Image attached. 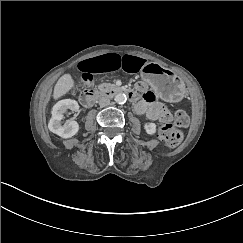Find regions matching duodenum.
<instances>
[{"label":"duodenum","instance_id":"1","mask_svg":"<svg viewBox=\"0 0 243 243\" xmlns=\"http://www.w3.org/2000/svg\"><path fill=\"white\" fill-rule=\"evenodd\" d=\"M117 93L125 94L128 97V99L132 102H136L139 99V94L135 90L125 87L115 88L109 91L107 94L112 96ZM100 95L103 94H97L93 90H85L80 95V102L84 107H90L93 105V103Z\"/></svg>","mask_w":243,"mask_h":243}]
</instances>
